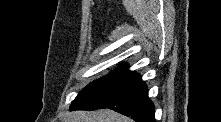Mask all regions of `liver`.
Masks as SVG:
<instances>
[{"label":"liver","instance_id":"liver-1","mask_svg":"<svg viewBox=\"0 0 221 122\" xmlns=\"http://www.w3.org/2000/svg\"><path fill=\"white\" fill-rule=\"evenodd\" d=\"M65 122H132L113 110L104 109L98 111H74L68 114Z\"/></svg>","mask_w":221,"mask_h":122}]
</instances>
